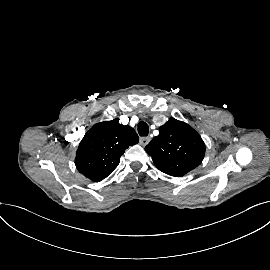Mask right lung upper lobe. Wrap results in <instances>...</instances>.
<instances>
[{
  "label": "right lung upper lobe",
  "instance_id": "1",
  "mask_svg": "<svg viewBox=\"0 0 270 270\" xmlns=\"http://www.w3.org/2000/svg\"><path fill=\"white\" fill-rule=\"evenodd\" d=\"M138 142L135 130L120 124L118 118L100 122L80 142L75 165L85 177L99 182L114 171L125 150Z\"/></svg>",
  "mask_w": 270,
  "mask_h": 270
}]
</instances>
